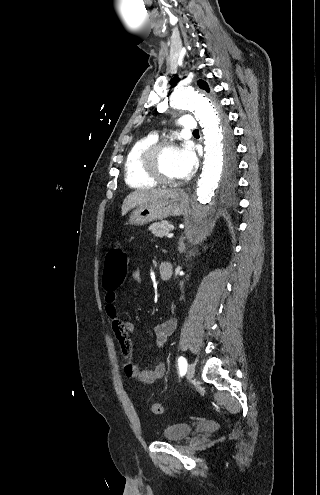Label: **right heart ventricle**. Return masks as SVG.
I'll use <instances>...</instances> for the list:
<instances>
[{"label": "right heart ventricle", "instance_id": "right-heart-ventricle-1", "mask_svg": "<svg viewBox=\"0 0 320 495\" xmlns=\"http://www.w3.org/2000/svg\"><path fill=\"white\" fill-rule=\"evenodd\" d=\"M155 141H157L155 136L148 135L136 141L129 149L124 162V176L126 184L131 188L148 189L157 185L143 172L141 167L143 151Z\"/></svg>", "mask_w": 320, "mask_h": 495}]
</instances>
